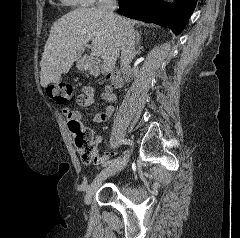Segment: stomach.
Segmentation results:
<instances>
[{"label":"stomach","instance_id":"1","mask_svg":"<svg viewBox=\"0 0 240 238\" xmlns=\"http://www.w3.org/2000/svg\"><path fill=\"white\" fill-rule=\"evenodd\" d=\"M77 67L81 70H84L87 68V64L83 60H81L78 62Z\"/></svg>","mask_w":240,"mask_h":238}]
</instances>
